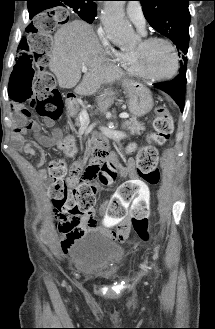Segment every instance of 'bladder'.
I'll return each mask as SVG.
<instances>
[{
  "mask_svg": "<svg viewBox=\"0 0 215 329\" xmlns=\"http://www.w3.org/2000/svg\"><path fill=\"white\" fill-rule=\"evenodd\" d=\"M71 252L75 266L82 274L103 281L117 279L126 262L125 248L96 231L79 237L72 244Z\"/></svg>",
  "mask_w": 215,
  "mask_h": 329,
  "instance_id": "1",
  "label": "bladder"
}]
</instances>
